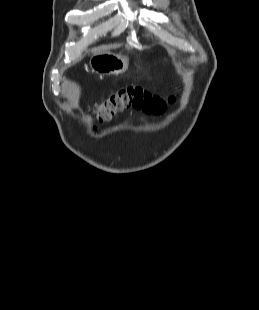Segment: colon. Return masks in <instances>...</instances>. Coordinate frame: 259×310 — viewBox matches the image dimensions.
Here are the masks:
<instances>
[{
    "mask_svg": "<svg viewBox=\"0 0 259 310\" xmlns=\"http://www.w3.org/2000/svg\"><path fill=\"white\" fill-rule=\"evenodd\" d=\"M166 105L165 99L147 89L138 86L128 87L115 92L97 105L95 119L97 122H106L115 114L128 108L159 112L165 109Z\"/></svg>",
    "mask_w": 259,
    "mask_h": 310,
    "instance_id": "5ec220e1",
    "label": "colon"
}]
</instances>
